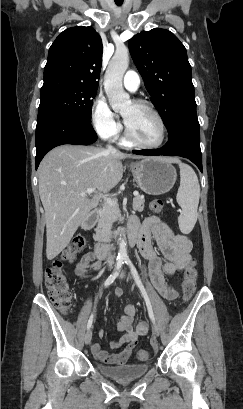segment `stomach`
<instances>
[{"label": "stomach", "instance_id": "1", "mask_svg": "<svg viewBox=\"0 0 243 409\" xmlns=\"http://www.w3.org/2000/svg\"><path fill=\"white\" fill-rule=\"evenodd\" d=\"M130 169L138 187L149 195L165 194L176 182V170L164 157H146L131 163Z\"/></svg>", "mask_w": 243, "mask_h": 409}]
</instances>
